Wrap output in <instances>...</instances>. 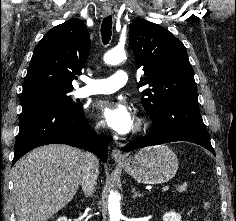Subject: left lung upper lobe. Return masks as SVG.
Listing matches in <instances>:
<instances>
[{
    "label": "left lung upper lobe",
    "mask_w": 236,
    "mask_h": 221,
    "mask_svg": "<svg viewBox=\"0 0 236 221\" xmlns=\"http://www.w3.org/2000/svg\"><path fill=\"white\" fill-rule=\"evenodd\" d=\"M129 42L137 67L145 72L139 86L151 87L141 98L151 120L169 103L198 105L193 70L179 39L157 24L137 20L130 26Z\"/></svg>",
    "instance_id": "obj_1"
}]
</instances>
